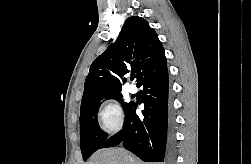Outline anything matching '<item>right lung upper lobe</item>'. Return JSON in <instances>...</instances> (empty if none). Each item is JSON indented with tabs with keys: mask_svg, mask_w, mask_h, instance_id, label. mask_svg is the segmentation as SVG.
<instances>
[{
	"mask_svg": "<svg viewBox=\"0 0 251 164\" xmlns=\"http://www.w3.org/2000/svg\"><path fill=\"white\" fill-rule=\"evenodd\" d=\"M164 64V48L154 29L142 17H129L118 39L91 64L81 108L102 96L120 92L129 70L136 69L138 83L147 73Z\"/></svg>",
	"mask_w": 251,
	"mask_h": 164,
	"instance_id": "1",
	"label": "right lung upper lobe"
}]
</instances>
